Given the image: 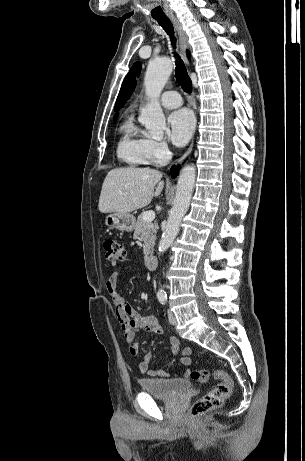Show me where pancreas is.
I'll use <instances>...</instances> for the list:
<instances>
[{"instance_id": "pancreas-1", "label": "pancreas", "mask_w": 305, "mask_h": 461, "mask_svg": "<svg viewBox=\"0 0 305 461\" xmlns=\"http://www.w3.org/2000/svg\"><path fill=\"white\" fill-rule=\"evenodd\" d=\"M144 213L138 216L137 222L135 223L134 238L141 237V240L144 243L143 252L145 256H148L156 240L157 233V223L156 222H147L143 218Z\"/></svg>"}]
</instances>
